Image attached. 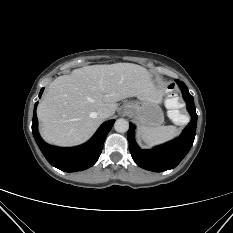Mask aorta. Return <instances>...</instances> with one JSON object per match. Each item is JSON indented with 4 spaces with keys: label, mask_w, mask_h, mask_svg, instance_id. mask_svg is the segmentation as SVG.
<instances>
[{
    "label": "aorta",
    "mask_w": 233,
    "mask_h": 233,
    "mask_svg": "<svg viewBox=\"0 0 233 233\" xmlns=\"http://www.w3.org/2000/svg\"><path fill=\"white\" fill-rule=\"evenodd\" d=\"M114 128L119 133H124L129 129V122L126 119H118L114 124Z\"/></svg>",
    "instance_id": "obj_1"
}]
</instances>
